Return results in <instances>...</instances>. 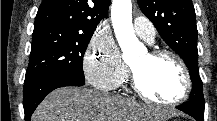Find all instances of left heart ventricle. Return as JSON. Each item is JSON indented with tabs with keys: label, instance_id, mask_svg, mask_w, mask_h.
Returning a JSON list of instances; mask_svg holds the SVG:
<instances>
[{
	"label": "left heart ventricle",
	"instance_id": "1",
	"mask_svg": "<svg viewBox=\"0 0 217 121\" xmlns=\"http://www.w3.org/2000/svg\"><path fill=\"white\" fill-rule=\"evenodd\" d=\"M130 67L137 74L143 89L160 101H170L182 91V74L170 58L152 59L148 53L139 56Z\"/></svg>",
	"mask_w": 217,
	"mask_h": 121
}]
</instances>
